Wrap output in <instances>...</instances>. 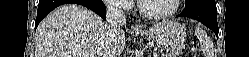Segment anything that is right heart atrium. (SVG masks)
Masks as SVG:
<instances>
[{
    "label": "right heart atrium",
    "mask_w": 249,
    "mask_h": 57,
    "mask_svg": "<svg viewBox=\"0 0 249 57\" xmlns=\"http://www.w3.org/2000/svg\"><path fill=\"white\" fill-rule=\"evenodd\" d=\"M107 7L116 12H126L131 9V1L129 0H107Z\"/></svg>",
    "instance_id": "d8ad5b80"
}]
</instances>
